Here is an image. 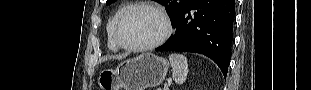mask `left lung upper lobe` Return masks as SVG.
I'll return each instance as SVG.
<instances>
[{
    "instance_id": "5c2ea615",
    "label": "left lung upper lobe",
    "mask_w": 311,
    "mask_h": 90,
    "mask_svg": "<svg viewBox=\"0 0 311 90\" xmlns=\"http://www.w3.org/2000/svg\"><path fill=\"white\" fill-rule=\"evenodd\" d=\"M114 1L115 0H107L106 4L109 5L113 3ZM191 1L192 0H161L159 2L165 6L166 11L170 14V16L176 22L179 15L182 13V11L186 8V6Z\"/></svg>"
}]
</instances>
